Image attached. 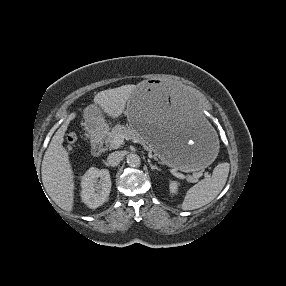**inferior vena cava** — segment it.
Instances as JSON below:
<instances>
[{
    "label": "inferior vena cava",
    "mask_w": 286,
    "mask_h": 286,
    "mask_svg": "<svg viewBox=\"0 0 286 286\" xmlns=\"http://www.w3.org/2000/svg\"><path fill=\"white\" fill-rule=\"evenodd\" d=\"M122 160H123L122 152L116 151V152L109 154L107 158V163L108 165L114 167V166H117Z\"/></svg>",
    "instance_id": "602c4592"
}]
</instances>
